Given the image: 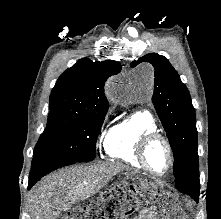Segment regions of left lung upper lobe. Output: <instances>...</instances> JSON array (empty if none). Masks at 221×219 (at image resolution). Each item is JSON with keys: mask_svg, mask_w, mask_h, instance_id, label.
Instances as JSON below:
<instances>
[{"mask_svg": "<svg viewBox=\"0 0 221 219\" xmlns=\"http://www.w3.org/2000/svg\"><path fill=\"white\" fill-rule=\"evenodd\" d=\"M141 62L155 69L152 102L174 153L176 187L188 195L199 194L196 118L189 91L164 56L150 53L133 61L131 67Z\"/></svg>", "mask_w": 221, "mask_h": 219, "instance_id": "5c2ea615", "label": "left lung upper lobe"}]
</instances>
